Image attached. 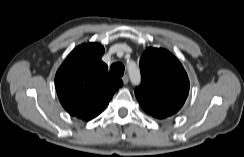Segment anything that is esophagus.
<instances>
[{"instance_id":"1","label":"esophagus","mask_w":244,"mask_h":157,"mask_svg":"<svg viewBox=\"0 0 244 157\" xmlns=\"http://www.w3.org/2000/svg\"><path fill=\"white\" fill-rule=\"evenodd\" d=\"M122 81H123V83L126 85V84L128 83V81H129L128 76H127V75H124V76L122 77Z\"/></svg>"}]
</instances>
